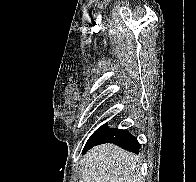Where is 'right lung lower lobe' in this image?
I'll use <instances>...</instances> for the list:
<instances>
[{
	"label": "right lung lower lobe",
	"mask_w": 196,
	"mask_h": 182,
	"mask_svg": "<svg viewBox=\"0 0 196 182\" xmlns=\"http://www.w3.org/2000/svg\"><path fill=\"white\" fill-rule=\"evenodd\" d=\"M104 143H113L135 154L139 153L141 147L137 139L132 136L127 130L111 128L106 129L102 134H100L86 150L95 145Z\"/></svg>",
	"instance_id": "1"
}]
</instances>
